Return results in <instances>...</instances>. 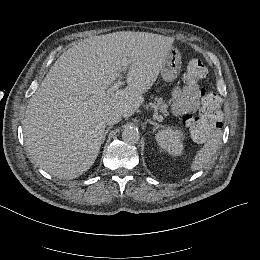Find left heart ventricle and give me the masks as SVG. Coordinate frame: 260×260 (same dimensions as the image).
Wrapping results in <instances>:
<instances>
[{
	"label": "left heart ventricle",
	"instance_id": "b2bd125f",
	"mask_svg": "<svg viewBox=\"0 0 260 260\" xmlns=\"http://www.w3.org/2000/svg\"><path fill=\"white\" fill-rule=\"evenodd\" d=\"M87 61L89 66H93L95 64H100L102 66H114L116 64V57L115 55H100L90 53L87 57ZM112 104L113 99L111 96L100 95L91 101L90 107L99 109L106 106H112Z\"/></svg>",
	"mask_w": 260,
	"mask_h": 260
}]
</instances>
